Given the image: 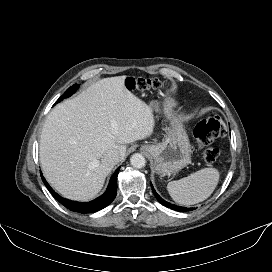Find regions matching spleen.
Masks as SVG:
<instances>
[{"label": "spleen", "instance_id": "obj_1", "mask_svg": "<svg viewBox=\"0 0 272 272\" xmlns=\"http://www.w3.org/2000/svg\"><path fill=\"white\" fill-rule=\"evenodd\" d=\"M219 171L204 168L177 181L167 184L171 198L181 205H193L206 200L219 182Z\"/></svg>", "mask_w": 272, "mask_h": 272}]
</instances>
